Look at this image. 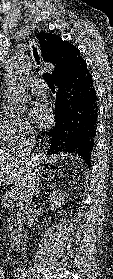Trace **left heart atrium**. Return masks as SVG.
<instances>
[{
  "mask_svg": "<svg viewBox=\"0 0 113 279\" xmlns=\"http://www.w3.org/2000/svg\"><path fill=\"white\" fill-rule=\"evenodd\" d=\"M32 115L37 123L44 125L50 118V111L47 105L38 102L32 109Z\"/></svg>",
  "mask_w": 113,
  "mask_h": 279,
  "instance_id": "left-heart-atrium-1",
  "label": "left heart atrium"
}]
</instances>
